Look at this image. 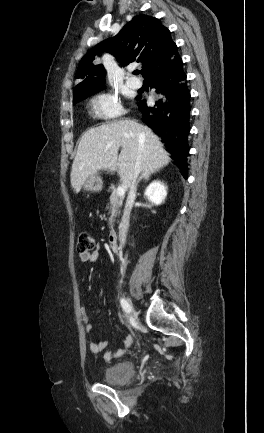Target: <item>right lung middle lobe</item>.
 <instances>
[{"mask_svg":"<svg viewBox=\"0 0 264 433\" xmlns=\"http://www.w3.org/2000/svg\"><path fill=\"white\" fill-rule=\"evenodd\" d=\"M90 94H88V95H85L84 97H82V98H79L78 100H75V101H73V103L74 104H76V103H78L79 101H81V100H83V99H85L87 96H89Z\"/></svg>","mask_w":264,"mask_h":433,"instance_id":"right-lung-middle-lobe-1","label":"right lung middle lobe"}]
</instances>
